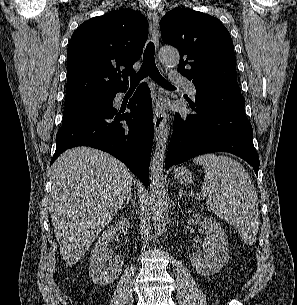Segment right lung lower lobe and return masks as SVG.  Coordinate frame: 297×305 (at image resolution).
I'll return each instance as SVG.
<instances>
[{
  "instance_id": "obj_1",
  "label": "right lung lower lobe",
  "mask_w": 297,
  "mask_h": 305,
  "mask_svg": "<svg viewBox=\"0 0 297 305\" xmlns=\"http://www.w3.org/2000/svg\"><path fill=\"white\" fill-rule=\"evenodd\" d=\"M126 90L114 92L110 106L91 110L62 124L51 164L69 148L90 146L121 160L147 187L154 136L151 96L147 84L142 83L127 105L130 112H124L125 109L113 107V99L117 92Z\"/></svg>"
}]
</instances>
